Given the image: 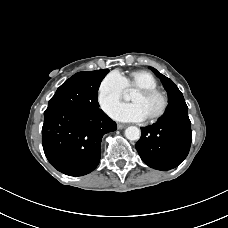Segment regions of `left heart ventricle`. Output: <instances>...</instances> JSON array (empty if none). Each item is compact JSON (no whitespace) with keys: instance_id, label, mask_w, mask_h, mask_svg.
Segmentation results:
<instances>
[{"instance_id":"b2bd125f","label":"left heart ventricle","mask_w":228,"mask_h":228,"mask_svg":"<svg viewBox=\"0 0 228 228\" xmlns=\"http://www.w3.org/2000/svg\"><path fill=\"white\" fill-rule=\"evenodd\" d=\"M130 101L141 107L146 118L156 114L161 107V99L158 96L145 97L137 92H134Z\"/></svg>"}]
</instances>
